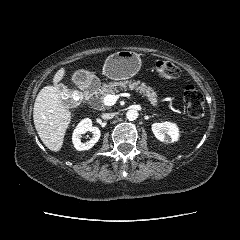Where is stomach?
<instances>
[{
  "instance_id": "stomach-1",
  "label": "stomach",
  "mask_w": 240,
  "mask_h": 240,
  "mask_svg": "<svg viewBox=\"0 0 240 240\" xmlns=\"http://www.w3.org/2000/svg\"><path fill=\"white\" fill-rule=\"evenodd\" d=\"M141 68L139 55L132 51L122 50L109 56L103 66V74L112 80H125L133 77ZM79 73L91 78L92 74L81 70Z\"/></svg>"
}]
</instances>
